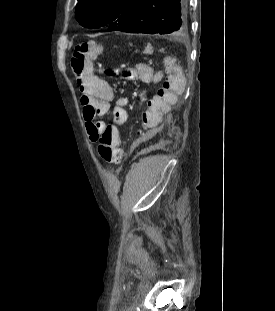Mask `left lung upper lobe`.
<instances>
[{
  "instance_id": "1",
  "label": "left lung upper lobe",
  "mask_w": 275,
  "mask_h": 311,
  "mask_svg": "<svg viewBox=\"0 0 275 311\" xmlns=\"http://www.w3.org/2000/svg\"><path fill=\"white\" fill-rule=\"evenodd\" d=\"M142 0H78L76 19L87 28L108 26L114 31L129 19Z\"/></svg>"
}]
</instances>
